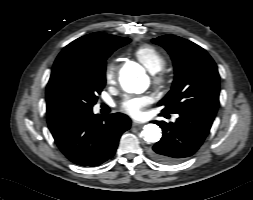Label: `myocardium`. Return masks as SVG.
Instances as JSON below:
<instances>
[{
  "instance_id": "myocardium-1",
  "label": "myocardium",
  "mask_w": 253,
  "mask_h": 200,
  "mask_svg": "<svg viewBox=\"0 0 253 200\" xmlns=\"http://www.w3.org/2000/svg\"><path fill=\"white\" fill-rule=\"evenodd\" d=\"M153 83L156 88L163 90L168 85V77L167 75L161 70L153 75Z\"/></svg>"
}]
</instances>
